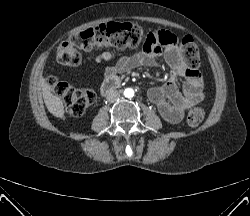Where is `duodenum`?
<instances>
[{"mask_svg": "<svg viewBox=\"0 0 250 216\" xmlns=\"http://www.w3.org/2000/svg\"><path fill=\"white\" fill-rule=\"evenodd\" d=\"M121 84V81L118 78H109L105 80L101 85V94L107 95L117 87H119Z\"/></svg>", "mask_w": 250, "mask_h": 216, "instance_id": "duodenum-1", "label": "duodenum"}]
</instances>
